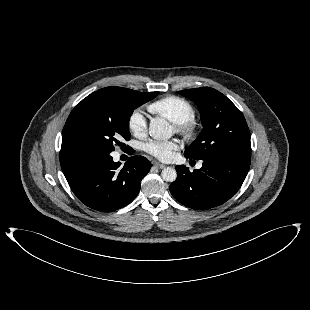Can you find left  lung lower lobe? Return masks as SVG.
I'll use <instances>...</instances> for the list:
<instances>
[{
	"label": "left lung lower lobe",
	"mask_w": 310,
	"mask_h": 310,
	"mask_svg": "<svg viewBox=\"0 0 310 310\" xmlns=\"http://www.w3.org/2000/svg\"><path fill=\"white\" fill-rule=\"evenodd\" d=\"M249 167L250 155H216L203 160L202 168L193 172L184 165L176 166L177 179L169 189L174 198L187 207L210 209L223 204L238 191Z\"/></svg>",
	"instance_id": "left-lung-lower-lobe-1"
}]
</instances>
